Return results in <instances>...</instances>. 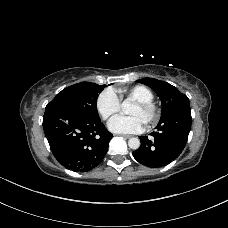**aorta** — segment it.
Returning a JSON list of instances; mask_svg holds the SVG:
<instances>
[{
  "mask_svg": "<svg viewBox=\"0 0 228 228\" xmlns=\"http://www.w3.org/2000/svg\"><path fill=\"white\" fill-rule=\"evenodd\" d=\"M129 107H130V102L127 100L123 101L122 109L125 113H127ZM140 144H141L140 140L137 137L130 138L128 141V146L133 150H137L140 147Z\"/></svg>",
  "mask_w": 228,
  "mask_h": 228,
  "instance_id": "1",
  "label": "aorta"
}]
</instances>
